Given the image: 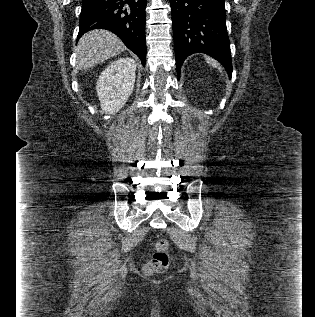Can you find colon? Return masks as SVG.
Returning a JSON list of instances; mask_svg holds the SVG:
<instances>
[{
	"mask_svg": "<svg viewBox=\"0 0 315 317\" xmlns=\"http://www.w3.org/2000/svg\"><path fill=\"white\" fill-rule=\"evenodd\" d=\"M169 241L161 238L156 241L152 258L145 264L144 273L154 275L167 270L170 263Z\"/></svg>",
	"mask_w": 315,
	"mask_h": 317,
	"instance_id": "5ec220e1",
	"label": "colon"
}]
</instances>
